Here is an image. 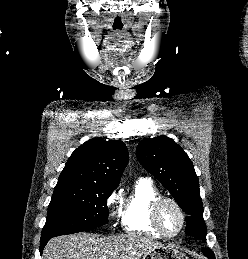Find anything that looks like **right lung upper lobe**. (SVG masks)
I'll return each instance as SVG.
<instances>
[{
    "mask_svg": "<svg viewBox=\"0 0 248 259\" xmlns=\"http://www.w3.org/2000/svg\"><path fill=\"white\" fill-rule=\"evenodd\" d=\"M127 162L128 150L122 141L93 138L72 153L56 187H117Z\"/></svg>",
    "mask_w": 248,
    "mask_h": 259,
    "instance_id": "right-lung-upper-lobe-1",
    "label": "right lung upper lobe"
}]
</instances>
